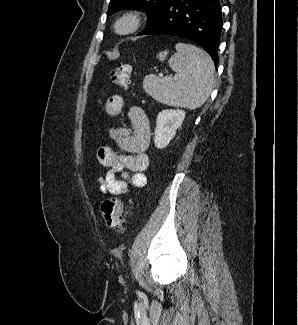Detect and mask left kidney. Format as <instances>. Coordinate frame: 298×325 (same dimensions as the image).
Returning <instances> with one entry per match:
<instances>
[{
    "instance_id": "left-kidney-1",
    "label": "left kidney",
    "mask_w": 298,
    "mask_h": 325,
    "mask_svg": "<svg viewBox=\"0 0 298 325\" xmlns=\"http://www.w3.org/2000/svg\"><path fill=\"white\" fill-rule=\"evenodd\" d=\"M185 110L180 108H164L158 112L156 118V128L154 142L157 148H165L176 134L177 128H180L184 118Z\"/></svg>"
}]
</instances>
